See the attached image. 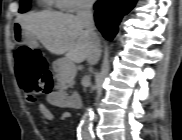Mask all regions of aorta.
<instances>
[{
  "label": "aorta",
  "instance_id": "aorta-1",
  "mask_svg": "<svg viewBox=\"0 0 182 140\" xmlns=\"http://www.w3.org/2000/svg\"><path fill=\"white\" fill-rule=\"evenodd\" d=\"M92 119H93V109L92 107H87L81 118L79 128H78L79 136L83 140H91Z\"/></svg>",
  "mask_w": 182,
  "mask_h": 140
}]
</instances>
